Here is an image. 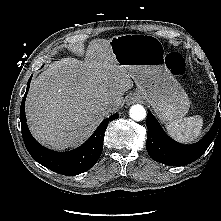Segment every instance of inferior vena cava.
<instances>
[{
  "label": "inferior vena cava",
  "instance_id": "inferior-vena-cava-1",
  "mask_svg": "<svg viewBox=\"0 0 221 221\" xmlns=\"http://www.w3.org/2000/svg\"><path fill=\"white\" fill-rule=\"evenodd\" d=\"M118 108H119V105L117 103H115V102L108 103L104 107V112L108 116V115L114 113Z\"/></svg>",
  "mask_w": 221,
  "mask_h": 221
}]
</instances>
